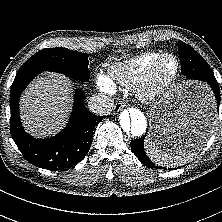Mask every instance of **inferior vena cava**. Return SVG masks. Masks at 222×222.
<instances>
[{
	"label": "inferior vena cava",
	"instance_id": "1",
	"mask_svg": "<svg viewBox=\"0 0 222 222\" xmlns=\"http://www.w3.org/2000/svg\"><path fill=\"white\" fill-rule=\"evenodd\" d=\"M113 106V100L104 94L93 95L88 102L90 111L97 115L110 114Z\"/></svg>",
	"mask_w": 222,
	"mask_h": 222
}]
</instances>
